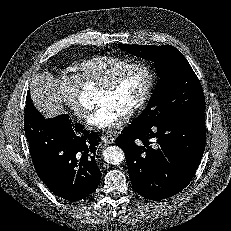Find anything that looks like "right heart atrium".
I'll return each mask as SVG.
<instances>
[{
    "mask_svg": "<svg viewBox=\"0 0 231 231\" xmlns=\"http://www.w3.org/2000/svg\"><path fill=\"white\" fill-rule=\"evenodd\" d=\"M55 95L58 100L66 105L78 118L87 116V109L81 102L79 82L75 76L62 73L55 83Z\"/></svg>",
    "mask_w": 231,
    "mask_h": 231,
    "instance_id": "1",
    "label": "right heart atrium"
}]
</instances>
